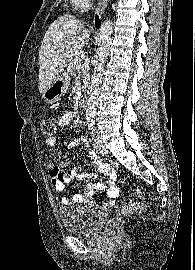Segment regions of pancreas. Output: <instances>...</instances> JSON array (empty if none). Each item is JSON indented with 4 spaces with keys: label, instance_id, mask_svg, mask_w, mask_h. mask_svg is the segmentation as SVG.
I'll return each instance as SVG.
<instances>
[{
    "label": "pancreas",
    "instance_id": "obj_1",
    "mask_svg": "<svg viewBox=\"0 0 195 270\" xmlns=\"http://www.w3.org/2000/svg\"><path fill=\"white\" fill-rule=\"evenodd\" d=\"M75 53L71 55L69 58V63H68V72L76 76L77 74H82V80L83 83L87 82L89 80V65L88 63L84 62L83 60L78 61L75 58Z\"/></svg>",
    "mask_w": 195,
    "mask_h": 270
}]
</instances>
